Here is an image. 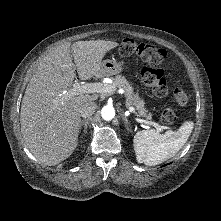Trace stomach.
Wrapping results in <instances>:
<instances>
[{
    "label": "stomach",
    "mask_w": 221,
    "mask_h": 221,
    "mask_svg": "<svg viewBox=\"0 0 221 221\" xmlns=\"http://www.w3.org/2000/svg\"><path fill=\"white\" fill-rule=\"evenodd\" d=\"M123 71V64L116 60H104L101 64L99 74L101 76L117 75Z\"/></svg>",
    "instance_id": "stomach-1"
}]
</instances>
